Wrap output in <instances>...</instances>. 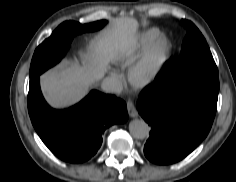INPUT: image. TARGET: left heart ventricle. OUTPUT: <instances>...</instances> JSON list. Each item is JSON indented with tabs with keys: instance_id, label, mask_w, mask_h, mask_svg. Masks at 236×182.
I'll return each instance as SVG.
<instances>
[{
	"instance_id": "left-heart-ventricle-1",
	"label": "left heart ventricle",
	"mask_w": 236,
	"mask_h": 182,
	"mask_svg": "<svg viewBox=\"0 0 236 182\" xmlns=\"http://www.w3.org/2000/svg\"><path fill=\"white\" fill-rule=\"evenodd\" d=\"M164 48H165V43L164 42L160 43L159 46H158L157 53L161 54L162 51L164 50Z\"/></svg>"
}]
</instances>
